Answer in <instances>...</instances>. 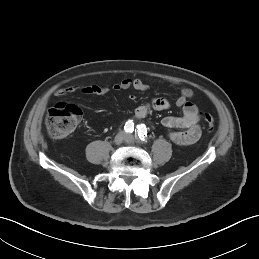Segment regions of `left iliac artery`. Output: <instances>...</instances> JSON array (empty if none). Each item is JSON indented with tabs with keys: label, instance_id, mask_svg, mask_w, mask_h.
Instances as JSON below:
<instances>
[{
	"label": "left iliac artery",
	"instance_id": "44dca946",
	"mask_svg": "<svg viewBox=\"0 0 259 259\" xmlns=\"http://www.w3.org/2000/svg\"><path fill=\"white\" fill-rule=\"evenodd\" d=\"M136 138L143 142H147V128L144 124L137 125V136Z\"/></svg>",
	"mask_w": 259,
	"mask_h": 259
}]
</instances>
